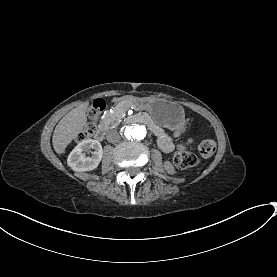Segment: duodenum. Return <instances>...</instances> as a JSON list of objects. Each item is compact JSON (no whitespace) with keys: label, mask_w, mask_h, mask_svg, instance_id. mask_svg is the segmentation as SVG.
Here are the masks:
<instances>
[{"label":"duodenum","mask_w":277,"mask_h":277,"mask_svg":"<svg viewBox=\"0 0 277 277\" xmlns=\"http://www.w3.org/2000/svg\"><path fill=\"white\" fill-rule=\"evenodd\" d=\"M126 124H144L147 126L152 132L155 134L160 131V127L154 122V120L145 113H139L132 116H129L125 120ZM107 133V127L104 125H100L97 128L95 137L98 140L104 139L105 135Z\"/></svg>","instance_id":"duodenum-1"}]
</instances>
